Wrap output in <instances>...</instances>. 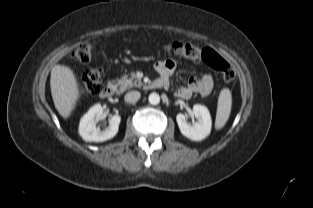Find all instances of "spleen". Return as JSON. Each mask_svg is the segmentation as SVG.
Returning a JSON list of instances; mask_svg holds the SVG:
<instances>
[{
	"label": "spleen",
	"instance_id": "obj_1",
	"mask_svg": "<svg viewBox=\"0 0 313 208\" xmlns=\"http://www.w3.org/2000/svg\"><path fill=\"white\" fill-rule=\"evenodd\" d=\"M232 105V96L229 89L221 90L218 98V106L215 120V128L220 130L227 123Z\"/></svg>",
	"mask_w": 313,
	"mask_h": 208
}]
</instances>
